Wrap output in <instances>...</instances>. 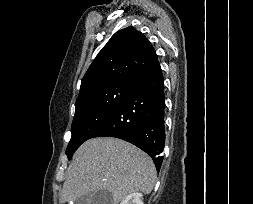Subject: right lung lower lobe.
<instances>
[{"instance_id":"98d812e1","label":"right lung lower lobe","mask_w":253,"mask_h":204,"mask_svg":"<svg viewBox=\"0 0 253 204\" xmlns=\"http://www.w3.org/2000/svg\"><path fill=\"white\" fill-rule=\"evenodd\" d=\"M164 107V78L157 61L134 82L93 138L116 137L134 144L152 157L159 171L165 145Z\"/></svg>"}]
</instances>
